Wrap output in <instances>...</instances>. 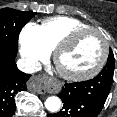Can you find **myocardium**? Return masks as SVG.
<instances>
[{"label":"myocardium","mask_w":117,"mask_h":117,"mask_svg":"<svg viewBox=\"0 0 117 117\" xmlns=\"http://www.w3.org/2000/svg\"><path fill=\"white\" fill-rule=\"evenodd\" d=\"M85 33H95L99 35L100 38L102 39L103 53H102L100 60L93 68L82 73H69V72L63 71L59 66L60 56L62 55L64 51H66L75 42V40L80 35L85 34ZM108 55H109V43H108V40L106 39L105 34L97 28L85 27V28L75 29L71 31L70 33H68L55 47L54 52H53V59L61 77L69 81L77 82V81L88 80L96 76L106 64Z\"/></svg>","instance_id":"myocardium-1"}]
</instances>
